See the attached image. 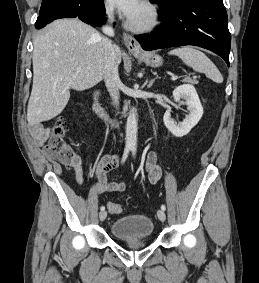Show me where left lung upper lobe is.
<instances>
[{
  "instance_id": "1",
  "label": "left lung upper lobe",
  "mask_w": 259,
  "mask_h": 283,
  "mask_svg": "<svg viewBox=\"0 0 259 283\" xmlns=\"http://www.w3.org/2000/svg\"><path fill=\"white\" fill-rule=\"evenodd\" d=\"M159 4L161 11H167L177 7L184 0H151Z\"/></svg>"
}]
</instances>
